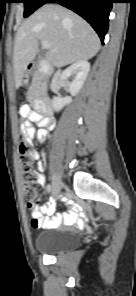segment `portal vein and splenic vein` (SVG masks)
<instances>
[{
  "label": "portal vein and splenic vein",
  "instance_id": "portal-vein-and-splenic-vein-1",
  "mask_svg": "<svg viewBox=\"0 0 136 296\" xmlns=\"http://www.w3.org/2000/svg\"><path fill=\"white\" fill-rule=\"evenodd\" d=\"M41 45H42V48H44V49H49L51 46L48 41H42Z\"/></svg>",
  "mask_w": 136,
  "mask_h": 296
}]
</instances>
